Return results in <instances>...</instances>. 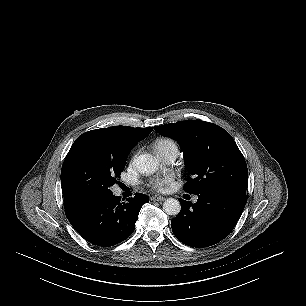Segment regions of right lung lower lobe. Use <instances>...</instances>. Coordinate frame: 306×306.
<instances>
[{
  "label": "right lung lower lobe",
  "mask_w": 306,
  "mask_h": 306,
  "mask_svg": "<svg viewBox=\"0 0 306 306\" xmlns=\"http://www.w3.org/2000/svg\"><path fill=\"white\" fill-rule=\"evenodd\" d=\"M113 194L94 198L66 209L65 214L74 229L88 242L108 247L128 238L135 229L139 211L149 200L136 193L121 203Z\"/></svg>",
  "instance_id": "98d812e1"
}]
</instances>
